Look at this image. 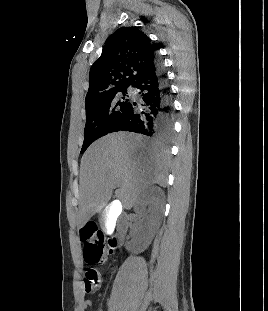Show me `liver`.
Wrapping results in <instances>:
<instances>
[{
  "label": "liver",
  "instance_id": "1",
  "mask_svg": "<svg viewBox=\"0 0 268 311\" xmlns=\"http://www.w3.org/2000/svg\"><path fill=\"white\" fill-rule=\"evenodd\" d=\"M168 165L167 152L140 135L118 132L100 138L81 159L77 225L82 227L104 208L116 186L115 196L127 210L148 186L165 187Z\"/></svg>",
  "mask_w": 268,
  "mask_h": 311
}]
</instances>
